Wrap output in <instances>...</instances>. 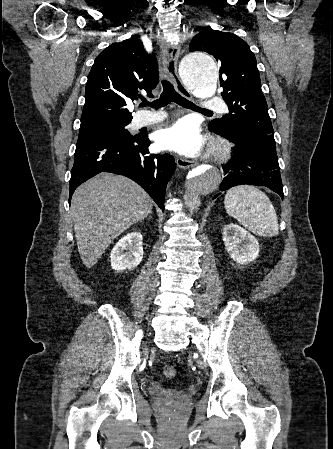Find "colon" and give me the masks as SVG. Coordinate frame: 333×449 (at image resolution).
<instances>
[{"label":"colon","mask_w":333,"mask_h":449,"mask_svg":"<svg viewBox=\"0 0 333 449\" xmlns=\"http://www.w3.org/2000/svg\"><path fill=\"white\" fill-rule=\"evenodd\" d=\"M163 373H164L165 377H167V378H174L177 374V370L174 366L167 365L164 367Z\"/></svg>","instance_id":"obj_1"}]
</instances>
